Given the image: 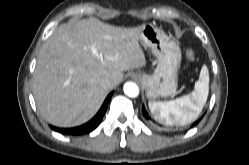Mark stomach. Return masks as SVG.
<instances>
[{
    "mask_svg": "<svg viewBox=\"0 0 249 165\" xmlns=\"http://www.w3.org/2000/svg\"><path fill=\"white\" fill-rule=\"evenodd\" d=\"M139 40L155 56L157 66L152 74L138 71L132 77L141 83L149 100L174 96L181 63L180 47L153 24L142 26Z\"/></svg>",
    "mask_w": 249,
    "mask_h": 165,
    "instance_id": "1",
    "label": "stomach"
}]
</instances>
